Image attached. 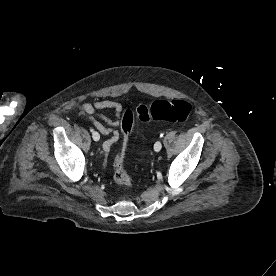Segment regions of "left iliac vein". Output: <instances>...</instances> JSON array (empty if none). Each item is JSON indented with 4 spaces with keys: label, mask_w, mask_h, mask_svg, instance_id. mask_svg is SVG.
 <instances>
[{
    "label": "left iliac vein",
    "mask_w": 276,
    "mask_h": 276,
    "mask_svg": "<svg viewBox=\"0 0 276 276\" xmlns=\"http://www.w3.org/2000/svg\"><path fill=\"white\" fill-rule=\"evenodd\" d=\"M162 148V143L160 141H157L155 144H154V149L156 152H159Z\"/></svg>",
    "instance_id": "4c4485c4"
}]
</instances>
